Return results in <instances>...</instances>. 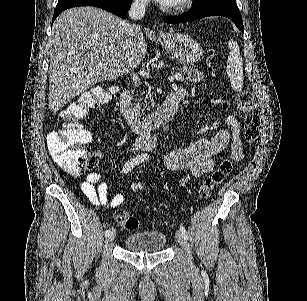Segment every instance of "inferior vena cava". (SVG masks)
Segmentation results:
<instances>
[{"instance_id":"602c4592","label":"inferior vena cava","mask_w":307,"mask_h":301,"mask_svg":"<svg viewBox=\"0 0 307 301\" xmlns=\"http://www.w3.org/2000/svg\"><path fill=\"white\" fill-rule=\"evenodd\" d=\"M148 2L149 0H133L129 10L130 18H133V20H140V18H143ZM125 26L129 36H137V34H139V24L126 22ZM128 60H131V56H128Z\"/></svg>"}]
</instances>
